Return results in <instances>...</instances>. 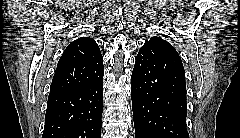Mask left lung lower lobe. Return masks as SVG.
<instances>
[{"mask_svg":"<svg viewBox=\"0 0 240 138\" xmlns=\"http://www.w3.org/2000/svg\"><path fill=\"white\" fill-rule=\"evenodd\" d=\"M131 81L135 138H189L180 56L163 50L138 54Z\"/></svg>","mask_w":240,"mask_h":138,"instance_id":"left-lung-lower-lobe-1","label":"left lung lower lobe"}]
</instances>
